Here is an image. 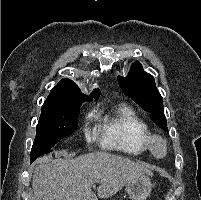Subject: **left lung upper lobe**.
<instances>
[{"label": "left lung upper lobe", "instance_id": "5c2ea615", "mask_svg": "<svg viewBox=\"0 0 201 200\" xmlns=\"http://www.w3.org/2000/svg\"><path fill=\"white\" fill-rule=\"evenodd\" d=\"M118 83L124 94L149 112L151 119L160 128L168 131L164 116L163 98L156 88L154 77L143 72L138 61L133 64L127 77H118Z\"/></svg>", "mask_w": 201, "mask_h": 200}]
</instances>
